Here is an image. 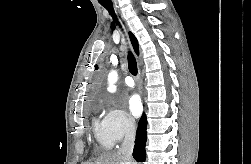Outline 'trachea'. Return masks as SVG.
<instances>
[{
	"instance_id": "obj_1",
	"label": "trachea",
	"mask_w": 251,
	"mask_h": 164,
	"mask_svg": "<svg viewBox=\"0 0 251 164\" xmlns=\"http://www.w3.org/2000/svg\"><path fill=\"white\" fill-rule=\"evenodd\" d=\"M102 6H104L108 10V12L113 17V19L119 24L117 17L115 15L114 9H113L112 2L102 3ZM128 68H129V71L132 75H134V76L137 75L136 59L131 52H129V54H128Z\"/></svg>"
}]
</instances>
